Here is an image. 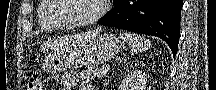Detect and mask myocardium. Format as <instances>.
I'll return each instance as SVG.
<instances>
[{
	"label": "myocardium",
	"instance_id": "myocardium-1",
	"mask_svg": "<svg viewBox=\"0 0 216 90\" xmlns=\"http://www.w3.org/2000/svg\"><path fill=\"white\" fill-rule=\"evenodd\" d=\"M50 1H52V3H56V8L55 11H52V14H49V21L65 29H77L92 25L93 23L98 21L107 11V6L105 4L107 3V0H95L97 1V3H100L99 10L95 15L91 16L88 19L82 20L77 24H70L58 18V15H61L62 12H65V9H67V3L65 2V0Z\"/></svg>",
	"mask_w": 216,
	"mask_h": 90
}]
</instances>
